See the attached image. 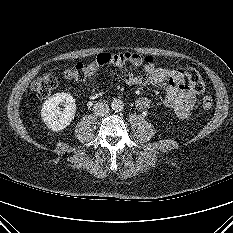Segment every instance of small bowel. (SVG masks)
Masks as SVG:
<instances>
[{
	"mask_svg": "<svg viewBox=\"0 0 233 233\" xmlns=\"http://www.w3.org/2000/svg\"><path fill=\"white\" fill-rule=\"evenodd\" d=\"M110 65L127 68L126 83L131 86L153 85L165 89V105L174 110L182 119H188L195 103V91L188 85L184 69H169L144 63L143 58L133 52L111 55ZM151 105L147 97H139L135 106L140 111Z\"/></svg>",
	"mask_w": 233,
	"mask_h": 233,
	"instance_id": "1",
	"label": "small bowel"
}]
</instances>
